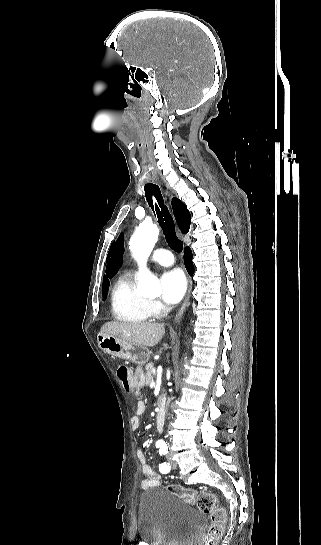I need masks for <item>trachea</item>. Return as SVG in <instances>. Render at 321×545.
<instances>
[{
	"label": "trachea",
	"instance_id": "1",
	"mask_svg": "<svg viewBox=\"0 0 321 545\" xmlns=\"http://www.w3.org/2000/svg\"><path fill=\"white\" fill-rule=\"evenodd\" d=\"M125 110L128 112L130 109L127 107ZM144 180L147 202L154 214L157 215L158 223L163 230L169 247L175 252L180 253L183 249V242L176 235L173 217L164 203L159 187H157V176L155 174H147Z\"/></svg>",
	"mask_w": 321,
	"mask_h": 545
}]
</instances>
